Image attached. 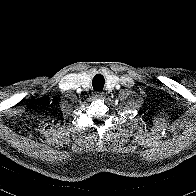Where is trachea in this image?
Wrapping results in <instances>:
<instances>
[{"label": "trachea", "instance_id": "trachea-1", "mask_svg": "<svg viewBox=\"0 0 196 196\" xmlns=\"http://www.w3.org/2000/svg\"><path fill=\"white\" fill-rule=\"evenodd\" d=\"M105 79L101 74H96L92 80V86L95 91H102L104 88Z\"/></svg>", "mask_w": 196, "mask_h": 196}]
</instances>
